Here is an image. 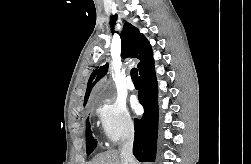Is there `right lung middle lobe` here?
Wrapping results in <instances>:
<instances>
[{
	"instance_id": "obj_1",
	"label": "right lung middle lobe",
	"mask_w": 251,
	"mask_h": 164,
	"mask_svg": "<svg viewBox=\"0 0 251 164\" xmlns=\"http://www.w3.org/2000/svg\"><path fill=\"white\" fill-rule=\"evenodd\" d=\"M86 138H87V153L90 154L95 149L96 143L92 138L89 122H87V127H86Z\"/></svg>"
}]
</instances>
